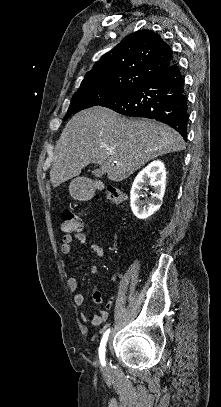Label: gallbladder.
Instances as JSON below:
<instances>
[{
    "instance_id": "obj_1",
    "label": "gallbladder",
    "mask_w": 221,
    "mask_h": 407,
    "mask_svg": "<svg viewBox=\"0 0 221 407\" xmlns=\"http://www.w3.org/2000/svg\"><path fill=\"white\" fill-rule=\"evenodd\" d=\"M92 174H94V175L97 176V177H100V176H102L103 172H102V170H100V169H94V170L92 171Z\"/></svg>"
}]
</instances>
